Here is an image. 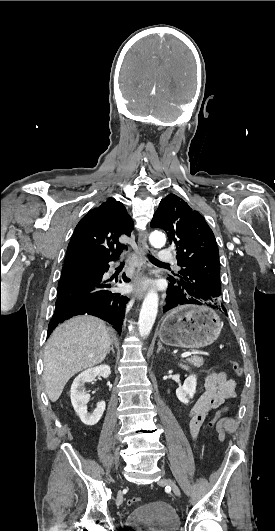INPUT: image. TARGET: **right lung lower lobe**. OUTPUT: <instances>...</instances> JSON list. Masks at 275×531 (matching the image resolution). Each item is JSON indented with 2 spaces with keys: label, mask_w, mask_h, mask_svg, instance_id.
<instances>
[{
  "label": "right lung lower lobe",
  "mask_w": 275,
  "mask_h": 531,
  "mask_svg": "<svg viewBox=\"0 0 275 531\" xmlns=\"http://www.w3.org/2000/svg\"><path fill=\"white\" fill-rule=\"evenodd\" d=\"M119 256L120 254L102 260L78 261L63 266L48 336L59 323L83 314L99 317L121 332L128 298L113 292L111 285L102 281L103 274L109 269L108 263ZM122 278L125 282L130 281L125 274Z\"/></svg>",
  "instance_id": "1"
}]
</instances>
